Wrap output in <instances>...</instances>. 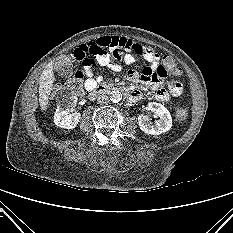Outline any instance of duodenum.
I'll return each instance as SVG.
<instances>
[{"label":"duodenum","mask_w":233,"mask_h":233,"mask_svg":"<svg viewBox=\"0 0 233 233\" xmlns=\"http://www.w3.org/2000/svg\"><path fill=\"white\" fill-rule=\"evenodd\" d=\"M112 91H118L121 92L127 99L131 100L134 97V94L132 91L128 90L126 87L120 85V84H101L97 85L94 89L90 92L91 98H96L100 95L112 92Z\"/></svg>","instance_id":"410a0bca"}]
</instances>
